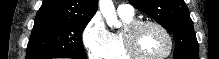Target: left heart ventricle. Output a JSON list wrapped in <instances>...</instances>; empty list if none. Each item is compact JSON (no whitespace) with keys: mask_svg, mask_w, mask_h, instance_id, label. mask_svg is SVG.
Wrapping results in <instances>:
<instances>
[{"mask_svg":"<svg viewBox=\"0 0 219 59\" xmlns=\"http://www.w3.org/2000/svg\"><path fill=\"white\" fill-rule=\"evenodd\" d=\"M136 44L139 52L147 57L161 56L168 48V42L164 34L150 25L144 26L139 30Z\"/></svg>","mask_w":219,"mask_h":59,"instance_id":"1","label":"left heart ventricle"}]
</instances>
